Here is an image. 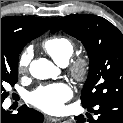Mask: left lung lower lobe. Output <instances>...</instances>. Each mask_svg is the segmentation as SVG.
<instances>
[{
    "mask_svg": "<svg viewBox=\"0 0 123 123\" xmlns=\"http://www.w3.org/2000/svg\"><path fill=\"white\" fill-rule=\"evenodd\" d=\"M93 107L85 108L94 111L98 118L95 120L89 116V119H85L79 115L75 117L77 123H123V97L106 98L95 105L97 110H93Z\"/></svg>",
    "mask_w": 123,
    "mask_h": 123,
    "instance_id": "1",
    "label": "left lung lower lobe"
}]
</instances>
